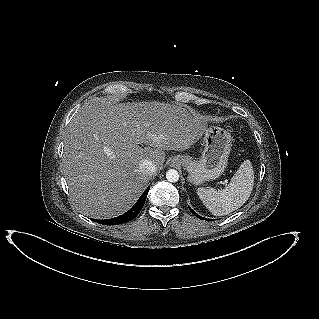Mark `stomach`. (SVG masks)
Returning <instances> with one entry per match:
<instances>
[{
    "mask_svg": "<svg viewBox=\"0 0 319 319\" xmlns=\"http://www.w3.org/2000/svg\"><path fill=\"white\" fill-rule=\"evenodd\" d=\"M203 140L205 148L198 161L185 155L173 157V162L181 164L187 170L188 181L195 185L217 179L223 174L232 146L231 134L214 125L205 128Z\"/></svg>",
    "mask_w": 319,
    "mask_h": 319,
    "instance_id": "1",
    "label": "stomach"
}]
</instances>
